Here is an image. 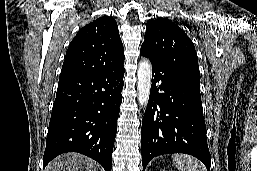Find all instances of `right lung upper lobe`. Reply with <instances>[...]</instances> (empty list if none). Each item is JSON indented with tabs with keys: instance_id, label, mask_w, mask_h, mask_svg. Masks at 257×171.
Returning <instances> with one entry per match:
<instances>
[{
	"instance_id": "cb5924a9",
	"label": "right lung upper lobe",
	"mask_w": 257,
	"mask_h": 171,
	"mask_svg": "<svg viewBox=\"0 0 257 171\" xmlns=\"http://www.w3.org/2000/svg\"><path fill=\"white\" fill-rule=\"evenodd\" d=\"M124 59L117 23L112 17L103 16L80 29L71 41L60 78L112 68Z\"/></svg>"
}]
</instances>
